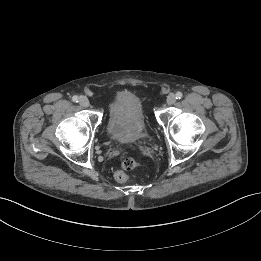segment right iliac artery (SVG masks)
<instances>
[{
	"label": "right iliac artery",
	"mask_w": 261,
	"mask_h": 261,
	"mask_svg": "<svg viewBox=\"0 0 261 261\" xmlns=\"http://www.w3.org/2000/svg\"><path fill=\"white\" fill-rule=\"evenodd\" d=\"M72 100H73V102H79V97L78 96H73L72 97Z\"/></svg>",
	"instance_id": "1"
}]
</instances>
